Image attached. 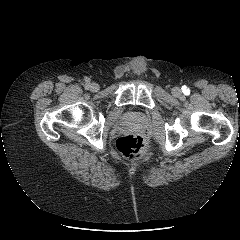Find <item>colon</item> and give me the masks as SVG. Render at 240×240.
<instances>
[{
    "label": "colon",
    "instance_id": "5ec220e1",
    "mask_svg": "<svg viewBox=\"0 0 240 240\" xmlns=\"http://www.w3.org/2000/svg\"><path fill=\"white\" fill-rule=\"evenodd\" d=\"M116 146L118 151L127 159H138L149 152V146L144 138L138 135L120 137Z\"/></svg>",
    "mask_w": 240,
    "mask_h": 240
}]
</instances>
